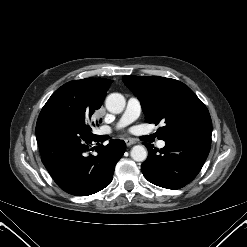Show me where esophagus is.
I'll list each match as a JSON object with an SVG mask.
<instances>
[{"label": "esophagus", "mask_w": 247, "mask_h": 247, "mask_svg": "<svg viewBox=\"0 0 247 247\" xmlns=\"http://www.w3.org/2000/svg\"><path fill=\"white\" fill-rule=\"evenodd\" d=\"M125 143H126L127 146H131V145L135 144L136 141L134 139H129L128 138V139L125 140Z\"/></svg>", "instance_id": "obj_1"}]
</instances>
